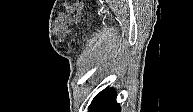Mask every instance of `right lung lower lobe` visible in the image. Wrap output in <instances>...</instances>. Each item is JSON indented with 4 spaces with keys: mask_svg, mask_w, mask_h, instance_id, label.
Returning <instances> with one entry per match:
<instances>
[{
    "mask_svg": "<svg viewBox=\"0 0 193 112\" xmlns=\"http://www.w3.org/2000/svg\"><path fill=\"white\" fill-rule=\"evenodd\" d=\"M120 105L116 102V92L107 88L93 99L89 112H120Z\"/></svg>",
    "mask_w": 193,
    "mask_h": 112,
    "instance_id": "98d812e1",
    "label": "right lung lower lobe"
}]
</instances>
